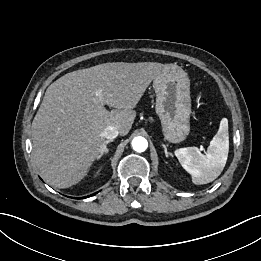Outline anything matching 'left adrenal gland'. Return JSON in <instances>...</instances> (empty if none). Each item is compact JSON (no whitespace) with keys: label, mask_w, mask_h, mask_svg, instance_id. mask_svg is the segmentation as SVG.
Returning <instances> with one entry per match:
<instances>
[{"label":"left adrenal gland","mask_w":261,"mask_h":261,"mask_svg":"<svg viewBox=\"0 0 261 261\" xmlns=\"http://www.w3.org/2000/svg\"><path fill=\"white\" fill-rule=\"evenodd\" d=\"M162 146H163V148H164L166 157L171 156L172 154L167 151L166 146H165L164 144H162Z\"/></svg>","instance_id":"obj_1"}]
</instances>
